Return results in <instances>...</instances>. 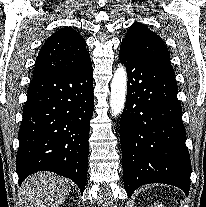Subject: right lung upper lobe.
Instances as JSON below:
<instances>
[{
	"mask_svg": "<svg viewBox=\"0 0 206 207\" xmlns=\"http://www.w3.org/2000/svg\"><path fill=\"white\" fill-rule=\"evenodd\" d=\"M90 58L83 37L71 27L47 39L36 58L33 79L66 73Z\"/></svg>",
	"mask_w": 206,
	"mask_h": 207,
	"instance_id": "obj_1",
	"label": "right lung upper lobe"
}]
</instances>
